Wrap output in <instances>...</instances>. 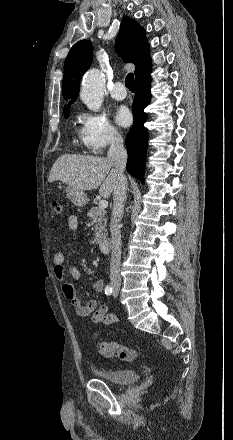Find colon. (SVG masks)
I'll return each mask as SVG.
<instances>
[{"mask_svg":"<svg viewBox=\"0 0 233 440\" xmlns=\"http://www.w3.org/2000/svg\"><path fill=\"white\" fill-rule=\"evenodd\" d=\"M52 214L55 217L63 214V204L61 201L52 203ZM99 353L106 358H116L123 361H131L138 357V352L129 347L120 345L111 340H101L98 342Z\"/></svg>","mask_w":233,"mask_h":440,"instance_id":"obj_1","label":"colon"}]
</instances>
